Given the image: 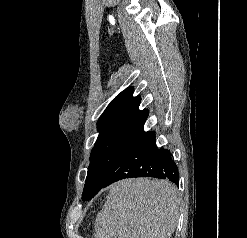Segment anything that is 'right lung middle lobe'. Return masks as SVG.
<instances>
[{
  "instance_id": "right-lung-middle-lobe-1",
  "label": "right lung middle lobe",
  "mask_w": 247,
  "mask_h": 238,
  "mask_svg": "<svg viewBox=\"0 0 247 238\" xmlns=\"http://www.w3.org/2000/svg\"><path fill=\"white\" fill-rule=\"evenodd\" d=\"M145 121H123L102 129L90 155L82 198L92 199L110 176L115 164L143 130Z\"/></svg>"
}]
</instances>
